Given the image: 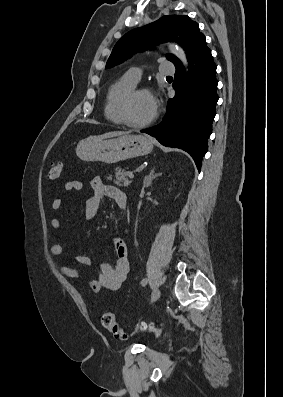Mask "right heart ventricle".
<instances>
[{
    "label": "right heart ventricle",
    "mask_w": 283,
    "mask_h": 397,
    "mask_svg": "<svg viewBox=\"0 0 283 397\" xmlns=\"http://www.w3.org/2000/svg\"><path fill=\"white\" fill-rule=\"evenodd\" d=\"M135 86L136 83L124 75L108 87L104 101V115L109 122L122 124L118 115V103L121 97Z\"/></svg>",
    "instance_id": "e07e8e85"
}]
</instances>
